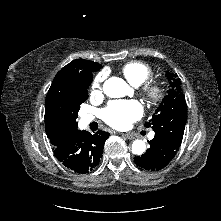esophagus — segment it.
Masks as SVG:
<instances>
[{
	"mask_svg": "<svg viewBox=\"0 0 221 221\" xmlns=\"http://www.w3.org/2000/svg\"><path fill=\"white\" fill-rule=\"evenodd\" d=\"M121 135L126 139H134V136L130 133H122Z\"/></svg>",
	"mask_w": 221,
	"mask_h": 221,
	"instance_id": "1",
	"label": "esophagus"
}]
</instances>
